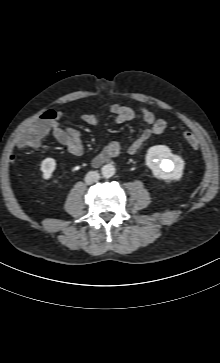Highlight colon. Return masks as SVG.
Segmentation results:
<instances>
[{"instance_id":"obj_1","label":"colon","mask_w":220,"mask_h":363,"mask_svg":"<svg viewBox=\"0 0 220 363\" xmlns=\"http://www.w3.org/2000/svg\"><path fill=\"white\" fill-rule=\"evenodd\" d=\"M57 113L53 110L44 111L31 125V127L24 133L26 143L29 146H34L40 143L42 138L51 129L52 123L56 120ZM184 140L191 146L198 143L197 137L189 131L183 133Z\"/></svg>"}]
</instances>
